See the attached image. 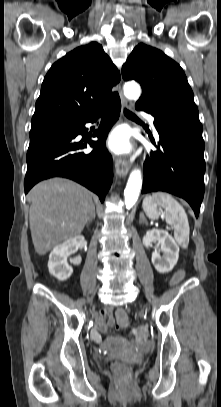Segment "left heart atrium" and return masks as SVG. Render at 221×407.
<instances>
[{
	"instance_id": "left-heart-atrium-1",
	"label": "left heart atrium",
	"mask_w": 221,
	"mask_h": 407,
	"mask_svg": "<svg viewBox=\"0 0 221 407\" xmlns=\"http://www.w3.org/2000/svg\"><path fill=\"white\" fill-rule=\"evenodd\" d=\"M108 147L117 154L127 153L130 150L129 135L126 130L114 131L108 139Z\"/></svg>"
}]
</instances>
